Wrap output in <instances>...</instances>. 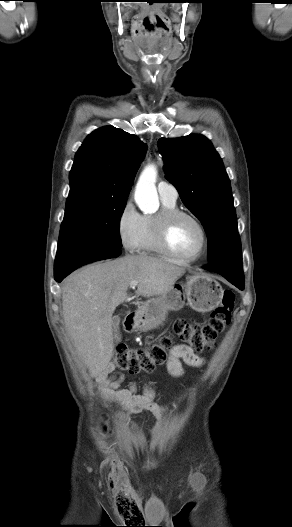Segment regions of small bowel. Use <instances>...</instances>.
Wrapping results in <instances>:
<instances>
[{"label": "small bowel", "instance_id": "c3829d8e", "mask_svg": "<svg viewBox=\"0 0 292 527\" xmlns=\"http://www.w3.org/2000/svg\"><path fill=\"white\" fill-rule=\"evenodd\" d=\"M183 363L191 367H201L204 359L196 354L190 347L184 344L174 345L170 351L167 360V369L173 377H181L184 374ZM125 376L115 371L113 365L107 366L102 373V381L107 384L112 391L111 397L119 404L122 410L127 414L120 416L129 420V414L149 412L156 418V423L152 429L156 433L160 427V420L165 412L164 407L155 402V390L148 383H144L142 393L137 392V384L131 382L126 389L119 390V386L124 382Z\"/></svg>", "mask_w": 292, "mask_h": 527}]
</instances>
